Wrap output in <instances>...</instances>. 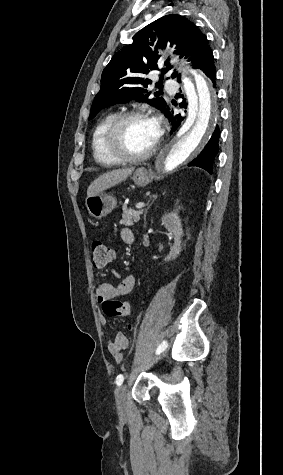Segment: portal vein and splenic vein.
<instances>
[{"mask_svg":"<svg viewBox=\"0 0 283 475\" xmlns=\"http://www.w3.org/2000/svg\"><path fill=\"white\" fill-rule=\"evenodd\" d=\"M145 204L143 202H139V204H136L135 208H144Z\"/></svg>","mask_w":283,"mask_h":475,"instance_id":"portal-vein-and-splenic-vein-1","label":"portal vein and splenic vein"}]
</instances>
